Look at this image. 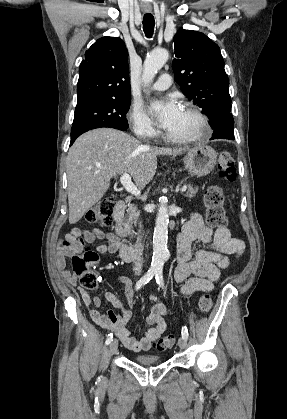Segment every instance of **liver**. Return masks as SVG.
I'll return each mask as SVG.
<instances>
[{
  "instance_id": "6515ba94",
  "label": "liver",
  "mask_w": 287,
  "mask_h": 419,
  "mask_svg": "<svg viewBox=\"0 0 287 419\" xmlns=\"http://www.w3.org/2000/svg\"><path fill=\"white\" fill-rule=\"evenodd\" d=\"M189 149L150 148L133 136L112 128H99L81 135L67 156L69 223H77L98 203L112 177L130 174L143 189L157 169V156H177Z\"/></svg>"
}]
</instances>
